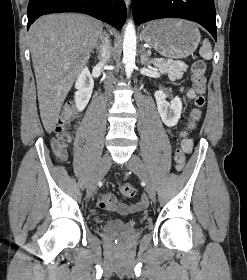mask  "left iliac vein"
Masks as SVG:
<instances>
[{"instance_id": "4c4485c4", "label": "left iliac vein", "mask_w": 247, "mask_h": 280, "mask_svg": "<svg viewBox=\"0 0 247 280\" xmlns=\"http://www.w3.org/2000/svg\"><path fill=\"white\" fill-rule=\"evenodd\" d=\"M127 167L136 175L141 177L146 183V191L150 198H154L156 195L155 184L146 170L142 160L137 155H132L127 163Z\"/></svg>"}]
</instances>
